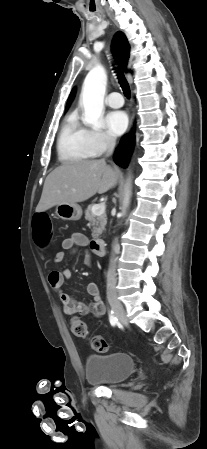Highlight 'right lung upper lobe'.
<instances>
[{"mask_svg":"<svg viewBox=\"0 0 207 449\" xmlns=\"http://www.w3.org/2000/svg\"><path fill=\"white\" fill-rule=\"evenodd\" d=\"M112 50L119 60L120 64L122 65V68L127 71V63L130 56V46L128 44V41L125 37V35L121 32H118L115 34L114 39L112 41ZM75 89H73L69 95L66 108L69 107L71 101L74 98Z\"/></svg>","mask_w":207,"mask_h":449,"instance_id":"right-lung-upper-lobe-1","label":"right lung upper lobe"}]
</instances>
